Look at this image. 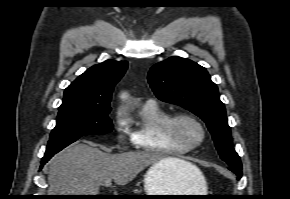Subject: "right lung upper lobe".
Masks as SVG:
<instances>
[{"mask_svg":"<svg viewBox=\"0 0 290 199\" xmlns=\"http://www.w3.org/2000/svg\"><path fill=\"white\" fill-rule=\"evenodd\" d=\"M128 67L127 61L106 60L86 70L64 92L59 108L73 106H110L116 83Z\"/></svg>","mask_w":290,"mask_h":199,"instance_id":"obj_1","label":"right lung upper lobe"}]
</instances>
